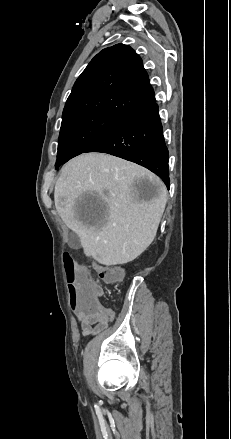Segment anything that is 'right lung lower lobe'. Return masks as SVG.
<instances>
[{
	"label": "right lung lower lobe",
	"instance_id": "obj_1",
	"mask_svg": "<svg viewBox=\"0 0 231 439\" xmlns=\"http://www.w3.org/2000/svg\"><path fill=\"white\" fill-rule=\"evenodd\" d=\"M86 152L108 153L158 175L169 189L168 149L155 98L122 118Z\"/></svg>",
	"mask_w": 231,
	"mask_h": 439
}]
</instances>
